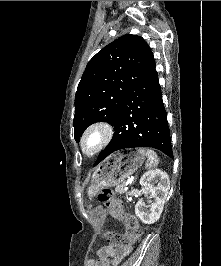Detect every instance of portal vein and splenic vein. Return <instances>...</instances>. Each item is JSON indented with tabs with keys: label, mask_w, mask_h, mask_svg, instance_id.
Instances as JSON below:
<instances>
[{
	"label": "portal vein and splenic vein",
	"mask_w": 221,
	"mask_h": 266,
	"mask_svg": "<svg viewBox=\"0 0 221 266\" xmlns=\"http://www.w3.org/2000/svg\"><path fill=\"white\" fill-rule=\"evenodd\" d=\"M130 183H132V179H129V180L126 182V186H127L128 184H130ZM126 189H128V187H126Z\"/></svg>",
	"instance_id": "obj_1"
}]
</instances>
